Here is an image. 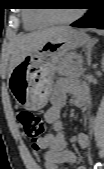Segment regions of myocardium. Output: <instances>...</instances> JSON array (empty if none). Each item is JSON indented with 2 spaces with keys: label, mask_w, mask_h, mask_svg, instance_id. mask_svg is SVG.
<instances>
[{
  "label": "myocardium",
  "mask_w": 104,
  "mask_h": 169,
  "mask_svg": "<svg viewBox=\"0 0 104 169\" xmlns=\"http://www.w3.org/2000/svg\"><path fill=\"white\" fill-rule=\"evenodd\" d=\"M80 15H81V12L77 11L75 14L69 17H66V18H58V17H55V15H52L49 13H47L45 17L52 23H72L75 20H77L80 17Z\"/></svg>",
  "instance_id": "obj_1"
}]
</instances>
